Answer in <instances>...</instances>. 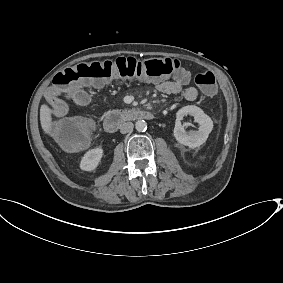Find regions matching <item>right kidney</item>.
<instances>
[{
	"instance_id": "ca27d5eb",
	"label": "right kidney",
	"mask_w": 283,
	"mask_h": 283,
	"mask_svg": "<svg viewBox=\"0 0 283 283\" xmlns=\"http://www.w3.org/2000/svg\"><path fill=\"white\" fill-rule=\"evenodd\" d=\"M104 150L100 147L92 148L81 157L79 168L82 171L91 172L97 169L103 157Z\"/></svg>"
}]
</instances>
